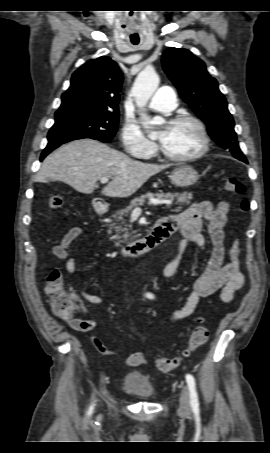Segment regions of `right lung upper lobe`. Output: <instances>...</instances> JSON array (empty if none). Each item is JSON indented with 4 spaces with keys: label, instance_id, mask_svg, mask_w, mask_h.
Segmentation results:
<instances>
[{
    "label": "right lung upper lobe",
    "instance_id": "obj_1",
    "mask_svg": "<svg viewBox=\"0 0 270 453\" xmlns=\"http://www.w3.org/2000/svg\"><path fill=\"white\" fill-rule=\"evenodd\" d=\"M122 82V72L111 58L102 56L88 61L73 73L55 117L78 112L119 113Z\"/></svg>",
    "mask_w": 270,
    "mask_h": 453
}]
</instances>
